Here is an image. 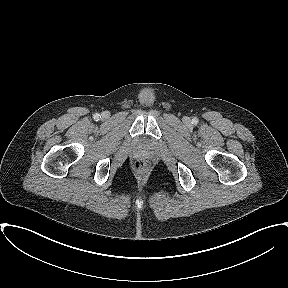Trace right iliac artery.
Returning a JSON list of instances; mask_svg holds the SVG:
<instances>
[{
	"label": "right iliac artery",
	"mask_w": 288,
	"mask_h": 288,
	"mask_svg": "<svg viewBox=\"0 0 288 288\" xmlns=\"http://www.w3.org/2000/svg\"><path fill=\"white\" fill-rule=\"evenodd\" d=\"M100 118H101V116H100L98 113H96V114L94 115V119H95L96 121H98Z\"/></svg>",
	"instance_id": "82829eb1"
}]
</instances>
